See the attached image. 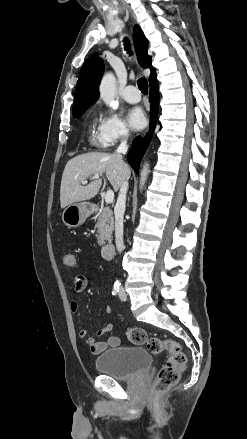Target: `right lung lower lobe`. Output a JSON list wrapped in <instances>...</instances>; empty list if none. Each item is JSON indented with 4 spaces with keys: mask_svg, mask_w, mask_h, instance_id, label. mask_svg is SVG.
<instances>
[{
    "mask_svg": "<svg viewBox=\"0 0 247 439\" xmlns=\"http://www.w3.org/2000/svg\"><path fill=\"white\" fill-rule=\"evenodd\" d=\"M149 100L151 104V108H150L151 121H150L149 133L144 138L141 136L136 137L133 140L132 147L128 153V162L137 174L139 173L140 162L150 144L156 126V119L158 114V100H159L157 80H155L150 84Z\"/></svg>",
    "mask_w": 247,
    "mask_h": 439,
    "instance_id": "1",
    "label": "right lung lower lobe"
}]
</instances>
